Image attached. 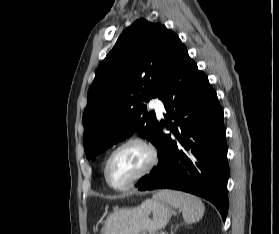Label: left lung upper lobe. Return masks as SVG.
Wrapping results in <instances>:
<instances>
[{"instance_id":"1","label":"left lung upper lobe","mask_w":279,"mask_h":234,"mask_svg":"<svg viewBox=\"0 0 279 234\" xmlns=\"http://www.w3.org/2000/svg\"><path fill=\"white\" fill-rule=\"evenodd\" d=\"M179 37L160 23L136 20L98 67L83 114L88 159L137 132L156 142L159 122L143 102L158 96L179 50Z\"/></svg>"}]
</instances>
